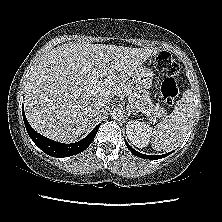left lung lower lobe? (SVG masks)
<instances>
[{
    "label": "left lung lower lobe",
    "instance_id": "left-lung-lower-lobe-1",
    "mask_svg": "<svg viewBox=\"0 0 222 222\" xmlns=\"http://www.w3.org/2000/svg\"><path fill=\"white\" fill-rule=\"evenodd\" d=\"M126 142V141H125ZM126 146L128 147V149L136 156L138 157H141V158H144V159H161V158H164L166 156H168L170 153L172 152H169L167 154H163V155H157V156H152V155H145V154H141L139 152H137L136 150H134L127 142H126Z\"/></svg>",
    "mask_w": 222,
    "mask_h": 222
}]
</instances>
